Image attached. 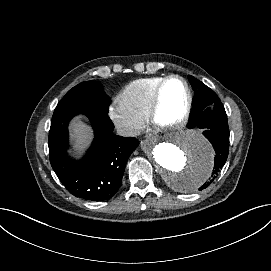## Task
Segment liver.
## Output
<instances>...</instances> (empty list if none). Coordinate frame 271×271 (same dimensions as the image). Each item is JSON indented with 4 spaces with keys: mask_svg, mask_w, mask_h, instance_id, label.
Listing matches in <instances>:
<instances>
[{
    "mask_svg": "<svg viewBox=\"0 0 271 271\" xmlns=\"http://www.w3.org/2000/svg\"><path fill=\"white\" fill-rule=\"evenodd\" d=\"M72 133L75 138L79 137V144L89 140V129L83 120H77L72 125Z\"/></svg>",
    "mask_w": 271,
    "mask_h": 271,
    "instance_id": "obj_1",
    "label": "liver"
}]
</instances>
